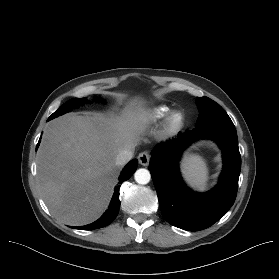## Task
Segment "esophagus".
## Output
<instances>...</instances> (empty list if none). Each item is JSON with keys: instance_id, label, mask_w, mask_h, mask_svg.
<instances>
[{"instance_id": "1", "label": "esophagus", "mask_w": 279, "mask_h": 279, "mask_svg": "<svg viewBox=\"0 0 279 279\" xmlns=\"http://www.w3.org/2000/svg\"><path fill=\"white\" fill-rule=\"evenodd\" d=\"M138 160H139V163L143 166H147L150 162V154L146 151L144 152H141L139 155H138Z\"/></svg>"}]
</instances>
